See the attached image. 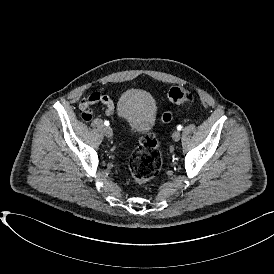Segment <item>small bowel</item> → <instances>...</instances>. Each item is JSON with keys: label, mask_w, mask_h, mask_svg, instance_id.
Here are the masks:
<instances>
[{"label": "small bowel", "mask_w": 274, "mask_h": 274, "mask_svg": "<svg viewBox=\"0 0 274 274\" xmlns=\"http://www.w3.org/2000/svg\"><path fill=\"white\" fill-rule=\"evenodd\" d=\"M103 90L104 89L95 90L79 102L78 109L83 121L90 122L93 119L91 106L94 104H102L103 112L106 115H111L114 112V103L110 97L103 92Z\"/></svg>", "instance_id": "c3829d8e"}]
</instances>
